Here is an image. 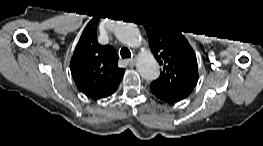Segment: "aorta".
I'll use <instances>...</instances> for the list:
<instances>
[{"instance_id":"1","label":"aorta","mask_w":263,"mask_h":146,"mask_svg":"<svg viewBox=\"0 0 263 146\" xmlns=\"http://www.w3.org/2000/svg\"><path fill=\"white\" fill-rule=\"evenodd\" d=\"M118 36L123 43L131 47H137L141 43V35L134 26L122 27ZM136 67L141 77L146 80L151 81L159 76V65L151 53L141 55Z\"/></svg>"}]
</instances>
